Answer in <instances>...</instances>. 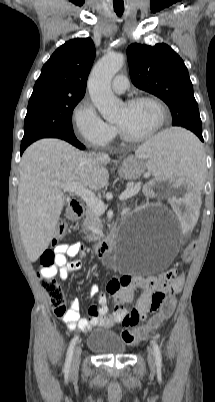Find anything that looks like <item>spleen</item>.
<instances>
[{
  "label": "spleen",
  "mask_w": 215,
  "mask_h": 402,
  "mask_svg": "<svg viewBox=\"0 0 215 402\" xmlns=\"http://www.w3.org/2000/svg\"><path fill=\"white\" fill-rule=\"evenodd\" d=\"M199 134L190 128H165L137 151L147 157L146 168L154 176L175 175L186 182H203L204 154Z\"/></svg>",
  "instance_id": "3e777b00"
}]
</instances>
